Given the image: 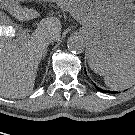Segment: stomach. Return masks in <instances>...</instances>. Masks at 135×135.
<instances>
[{
	"label": "stomach",
	"instance_id": "stomach-1",
	"mask_svg": "<svg viewBox=\"0 0 135 135\" xmlns=\"http://www.w3.org/2000/svg\"><path fill=\"white\" fill-rule=\"evenodd\" d=\"M6 1V0H4ZM25 0H8L20 5ZM54 2L82 24L88 62L100 75L135 64V5L132 0H41Z\"/></svg>",
	"mask_w": 135,
	"mask_h": 135
}]
</instances>
